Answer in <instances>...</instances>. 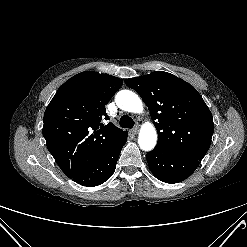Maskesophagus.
Listing matches in <instances>:
<instances>
[{
  "label": "esophagus",
  "mask_w": 247,
  "mask_h": 247,
  "mask_svg": "<svg viewBox=\"0 0 247 247\" xmlns=\"http://www.w3.org/2000/svg\"><path fill=\"white\" fill-rule=\"evenodd\" d=\"M132 132H133L134 134H137V133L139 132V126L136 125V126L132 129Z\"/></svg>",
  "instance_id": "1"
}]
</instances>
